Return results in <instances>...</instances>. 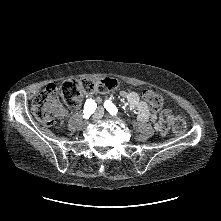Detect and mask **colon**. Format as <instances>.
Instances as JSON below:
<instances>
[{
    "instance_id": "1",
    "label": "colon",
    "mask_w": 221,
    "mask_h": 221,
    "mask_svg": "<svg viewBox=\"0 0 221 221\" xmlns=\"http://www.w3.org/2000/svg\"><path fill=\"white\" fill-rule=\"evenodd\" d=\"M117 85V80L109 77L96 81L70 79L59 87L50 84L35 98L32 104V112L42 125L51 127L55 124L56 118L62 113V105L75 108L80 104L83 96L111 92ZM143 98L154 110L159 111L163 108V99L156 92L145 90L143 92ZM170 116L169 110H163L159 118L161 124H166ZM172 127L176 135H183L186 131L184 118L179 115L173 117ZM165 133L164 131L161 132L162 135Z\"/></svg>"
}]
</instances>
